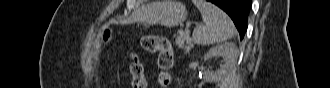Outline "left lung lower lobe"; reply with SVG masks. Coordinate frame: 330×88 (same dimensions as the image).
I'll list each match as a JSON object with an SVG mask.
<instances>
[{
  "label": "left lung lower lobe",
  "mask_w": 330,
  "mask_h": 88,
  "mask_svg": "<svg viewBox=\"0 0 330 88\" xmlns=\"http://www.w3.org/2000/svg\"><path fill=\"white\" fill-rule=\"evenodd\" d=\"M224 10L233 20L240 39L247 30V18L251 7V0H208Z\"/></svg>",
  "instance_id": "left-lung-lower-lobe-1"
}]
</instances>
